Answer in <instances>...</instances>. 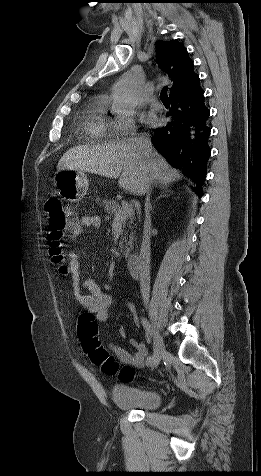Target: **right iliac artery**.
Segmentation results:
<instances>
[{
  "label": "right iliac artery",
  "instance_id": "1",
  "mask_svg": "<svg viewBox=\"0 0 261 476\" xmlns=\"http://www.w3.org/2000/svg\"><path fill=\"white\" fill-rule=\"evenodd\" d=\"M141 323H142L144 329H145L147 332H149L150 330H149V325H148L147 320H146L145 318H142V319H141ZM152 360H153V356H148L147 359H146V365H151Z\"/></svg>",
  "mask_w": 261,
  "mask_h": 476
}]
</instances>
